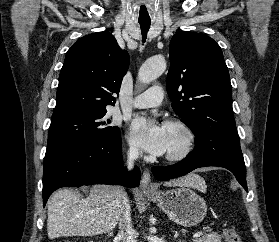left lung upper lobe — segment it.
<instances>
[{
    "mask_svg": "<svg viewBox=\"0 0 279 242\" xmlns=\"http://www.w3.org/2000/svg\"><path fill=\"white\" fill-rule=\"evenodd\" d=\"M167 92L173 110L196 136L187 157L227 158L244 164L232 110V86L220 46L181 31L170 41Z\"/></svg>",
    "mask_w": 279,
    "mask_h": 242,
    "instance_id": "5c2ea615",
    "label": "left lung upper lobe"
}]
</instances>
